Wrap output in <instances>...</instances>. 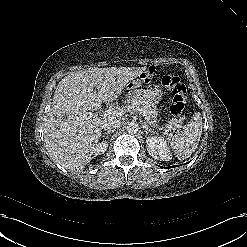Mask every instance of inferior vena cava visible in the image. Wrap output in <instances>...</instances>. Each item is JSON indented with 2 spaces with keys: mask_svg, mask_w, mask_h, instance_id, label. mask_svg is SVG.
<instances>
[{
  "mask_svg": "<svg viewBox=\"0 0 247 247\" xmlns=\"http://www.w3.org/2000/svg\"><path fill=\"white\" fill-rule=\"evenodd\" d=\"M121 127V121L118 119H109L103 126V129L108 132L112 133Z\"/></svg>",
  "mask_w": 247,
  "mask_h": 247,
  "instance_id": "obj_1",
  "label": "inferior vena cava"
}]
</instances>
